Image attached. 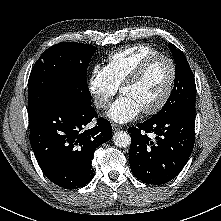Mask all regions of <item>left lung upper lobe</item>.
Segmentation results:
<instances>
[{
  "label": "left lung upper lobe",
  "mask_w": 221,
  "mask_h": 221,
  "mask_svg": "<svg viewBox=\"0 0 221 221\" xmlns=\"http://www.w3.org/2000/svg\"><path fill=\"white\" fill-rule=\"evenodd\" d=\"M176 60L175 82L169 99L152 119H163L175 112L187 110L195 112L196 84L192 70L183 52L169 43Z\"/></svg>",
  "instance_id": "left-lung-upper-lobe-1"
}]
</instances>
